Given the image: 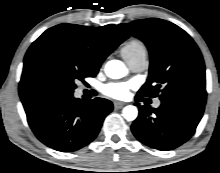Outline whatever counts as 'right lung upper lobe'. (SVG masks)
<instances>
[{"mask_svg":"<svg viewBox=\"0 0 220 173\" xmlns=\"http://www.w3.org/2000/svg\"><path fill=\"white\" fill-rule=\"evenodd\" d=\"M117 25L60 24L46 30L28 49L19 83L20 98L45 92L51 71L72 64L98 72L105 58L128 38Z\"/></svg>","mask_w":220,"mask_h":173,"instance_id":"cb5924a9","label":"right lung upper lobe"}]
</instances>
